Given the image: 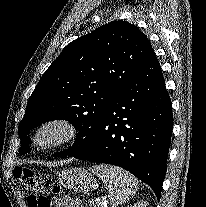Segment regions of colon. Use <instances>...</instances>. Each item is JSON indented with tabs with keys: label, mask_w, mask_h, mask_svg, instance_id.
I'll use <instances>...</instances> for the list:
<instances>
[{
	"label": "colon",
	"mask_w": 206,
	"mask_h": 207,
	"mask_svg": "<svg viewBox=\"0 0 206 207\" xmlns=\"http://www.w3.org/2000/svg\"><path fill=\"white\" fill-rule=\"evenodd\" d=\"M14 174L27 195L29 207H52L46 194H57L60 191L58 185L53 184L47 176L25 167H17Z\"/></svg>",
	"instance_id": "5ec220e1"
}]
</instances>
